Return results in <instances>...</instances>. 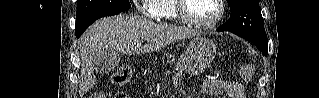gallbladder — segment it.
I'll use <instances>...</instances> for the list:
<instances>
[{
	"mask_svg": "<svg viewBox=\"0 0 319 98\" xmlns=\"http://www.w3.org/2000/svg\"><path fill=\"white\" fill-rule=\"evenodd\" d=\"M119 62L120 54L112 50H103L97 53L93 60L95 71L103 74L113 71Z\"/></svg>",
	"mask_w": 319,
	"mask_h": 98,
	"instance_id": "obj_1",
	"label": "gallbladder"
}]
</instances>
